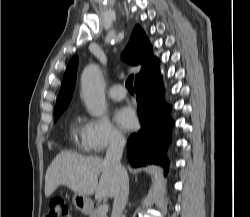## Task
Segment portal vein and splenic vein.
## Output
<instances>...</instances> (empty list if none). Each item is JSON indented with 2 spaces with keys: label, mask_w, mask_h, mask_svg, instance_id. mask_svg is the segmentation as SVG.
<instances>
[{
  "label": "portal vein and splenic vein",
  "mask_w": 250,
  "mask_h": 217,
  "mask_svg": "<svg viewBox=\"0 0 250 217\" xmlns=\"http://www.w3.org/2000/svg\"><path fill=\"white\" fill-rule=\"evenodd\" d=\"M108 205L107 204H102L100 207H99V212L100 213H107V211H108Z\"/></svg>",
  "instance_id": "obj_1"
}]
</instances>
